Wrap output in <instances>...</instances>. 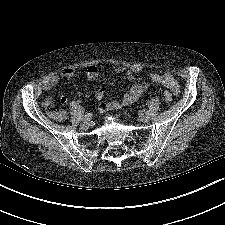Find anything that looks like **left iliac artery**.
I'll use <instances>...</instances> for the list:
<instances>
[{
    "mask_svg": "<svg viewBox=\"0 0 225 225\" xmlns=\"http://www.w3.org/2000/svg\"><path fill=\"white\" fill-rule=\"evenodd\" d=\"M141 114L142 115H149L150 114V111L147 110V109H144V110L141 111Z\"/></svg>",
    "mask_w": 225,
    "mask_h": 225,
    "instance_id": "44dca946",
    "label": "left iliac artery"
}]
</instances>
